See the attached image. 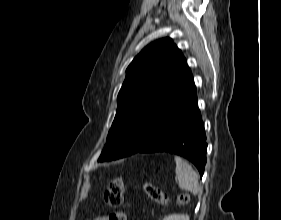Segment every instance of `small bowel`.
<instances>
[{"label": "small bowel", "mask_w": 281, "mask_h": 220, "mask_svg": "<svg viewBox=\"0 0 281 220\" xmlns=\"http://www.w3.org/2000/svg\"><path fill=\"white\" fill-rule=\"evenodd\" d=\"M93 220H108V217H105V216H100V217H97Z\"/></svg>", "instance_id": "c3829d8e"}]
</instances>
